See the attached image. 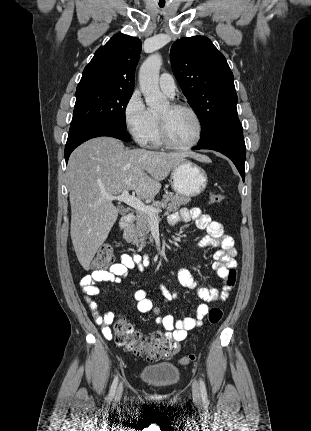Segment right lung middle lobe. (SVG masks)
Masks as SVG:
<instances>
[{
  "label": "right lung middle lobe",
  "mask_w": 311,
  "mask_h": 431,
  "mask_svg": "<svg viewBox=\"0 0 311 431\" xmlns=\"http://www.w3.org/2000/svg\"><path fill=\"white\" fill-rule=\"evenodd\" d=\"M133 92L90 88L76 91L70 128L88 122L126 127L125 110Z\"/></svg>",
  "instance_id": "dd1d6c3e"
}]
</instances>
